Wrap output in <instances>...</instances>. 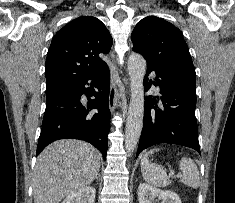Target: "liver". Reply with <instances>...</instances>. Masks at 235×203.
<instances>
[{"label": "liver", "instance_id": "obj_1", "mask_svg": "<svg viewBox=\"0 0 235 203\" xmlns=\"http://www.w3.org/2000/svg\"><path fill=\"white\" fill-rule=\"evenodd\" d=\"M99 151L81 140H58L37 158L34 203H59L69 194L90 185L100 169Z\"/></svg>", "mask_w": 235, "mask_h": 203}]
</instances>
